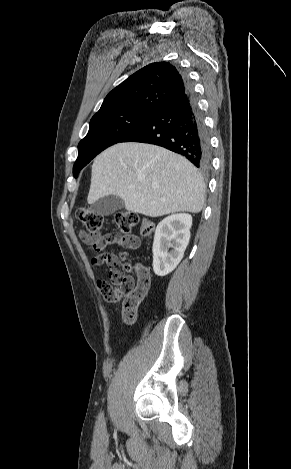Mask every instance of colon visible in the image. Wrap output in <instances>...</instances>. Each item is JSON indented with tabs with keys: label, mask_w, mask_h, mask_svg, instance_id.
Masks as SVG:
<instances>
[{
	"label": "colon",
	"mask_w": 291,
	"mask_h": 469,
	"mask_svg": "<svg viewBox=\"0 0 291 469\" xmlns=\"http://www.w3.org/2000/svg\"><path fill=\"white\" fill-rule=\"evenodd\" d=\"M77 217L85 226V233L89 241L99 250L108 244L131 245L133 240L130 232L138 224H140V233L144 237L151 235L154 227L151 220L147 218L141 219L137 213L131 211H122L116 214L115 223L117 232L114 233H104L103 216L90 209H79ZM92 262L95 265H107L108 275L114 286L104 281L98 285V288L108 301H122L121 313L123 321L127 324L134 323L138 307L146 295L145 289L138 286V280L140 278L145 279L147 271L142 266L131 267L123 264L118 259L107 260L102 255L93 258ZM135 277L137 278V284H135Z\"/></svg>",
	"instance_id": "obj_1"
}]
</instances>
